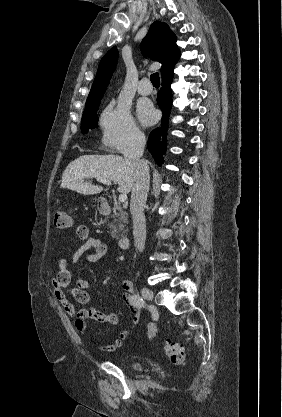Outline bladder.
Segmentation results:
<instances>
[{"mask_svg": "<svg viewBox=\"0 0 282 417\" xmlns=\"http://www.w3.org/2000/svg\"><path fill=\"white\" fill-rule=\"evenodd\" d=\"M129 366L134 371H141L143 369L142 363L137 360H131Z\"/></svg>", "mask_w": 282, "mask_h": 417, "instance_id": "bladder-1", "label": "bladder"}]
</instances>
